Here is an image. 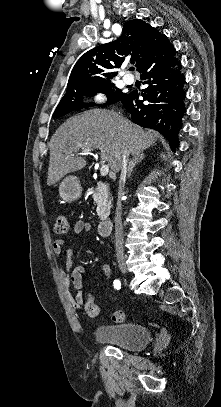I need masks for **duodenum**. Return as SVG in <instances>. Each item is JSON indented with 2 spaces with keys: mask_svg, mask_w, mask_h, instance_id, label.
Returning a JSON list of instances; mask_svg holds the SVG:
<instances>
[{
  "mask_svg": "<svg viewBox=\"0 0 221 407\" xmlns=\"http://www.w3.org/2000/svg\"><path fill=\"white\" fill-rule=\"evenodd\" d=\"M113 227V220L111 218L104 219L99 223L98 226V233L100 236H107L109 235L111 229Z\"/></svg>",
  "mask_w": 221,
  "mask_h": 407,
  "instance_id": "1",
  "label": "duodenum"
}]
</instances>
